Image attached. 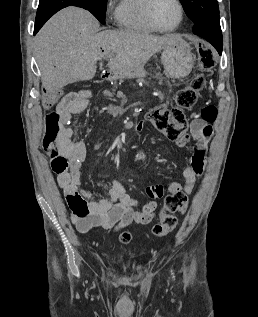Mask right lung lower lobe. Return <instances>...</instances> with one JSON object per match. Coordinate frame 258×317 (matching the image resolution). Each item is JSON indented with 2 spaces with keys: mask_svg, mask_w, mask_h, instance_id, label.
Segmentation results:
<instances>
[{
  "mask_svg": "<svg viewBox=\"0 0 258 317\" xmlns=\"http://www.w3.org/2000/svg\"><path fill=\"white\" fill-rule=\"evenodd\" d=\"M71 5L84 8L92 13L88 0H40L36 14L34 35L52 15Z\"/></svg>",
  "mask_w": 258,
  "mask_h": 317,
  "instance_id": "right-lung-lower-lobe-1",
  "label": "right lung lower lobe"
}]
</instances>
